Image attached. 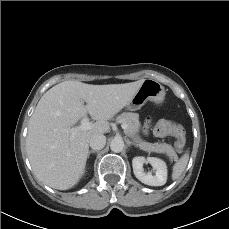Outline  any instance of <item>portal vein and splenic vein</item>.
I'll list each match as a JSON object with an SVG mask.
<instances>
[{"label": "portal vein and splenic vein", "instance_id": "obj_1", "mask_svg": "<svg viewBox=\"0 0 229 229\" xmlns=\"http://www.w3.org/2000/svg\"><path fill=\"white\" fill-rule=\"evenodd\" d=\"M93 124L89 121L87 117H84L81 120V124L77 127L69 128L68 131L71 133L72 137L77 134L80 131H86L92 129ZM122 129L126 131L128 129V125L125 123H122L121 125Z\"/></svg>", "mask_w": 229, "mask_h": 229}]
</instances>
